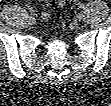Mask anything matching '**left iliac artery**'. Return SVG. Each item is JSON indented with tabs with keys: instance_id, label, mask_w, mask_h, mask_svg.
Returning <instances> with one entry per match:
<instances>
[{
	"instance_id": "left-iliac-artery-1",
	"label": "left iliac artery",
	"mask_w": 111,
	"mask_h": 106,
	"mask_svg": "<svg viewBox=\"0 0 111 106\" xmlns=\"http://www.w3.org/2000/svg\"><path fill=\"white\" fill-rule=\"evenodd\" d=\"M79 7H80V8H84V4H82V3L79 4Z\"/></svg>"
}]
</instances>
